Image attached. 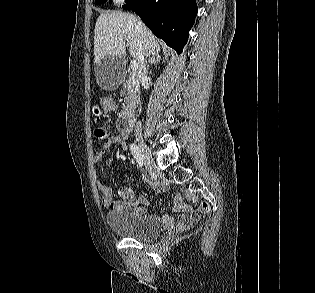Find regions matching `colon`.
<instances>
[{
    "label": "colon",
    "mask_w": 315,
    "mask_h": 293,
    "mask_svg": "<svg viewBox=\"0 0 315 293\" xmlns=\"http://www.w3.org/2000/svg\"><path fill=\"white\" fill-rule=\"evenodd\" d=\"M94 136L97 140H105L108 136V133H107L105 128L97 126L94 128ZM120 190H119V192H120ZM203 208L206 211L209 210V207L207 205H204Z\"/></svg>",
    "instance_id": "obj_1"
}]
</instances>
